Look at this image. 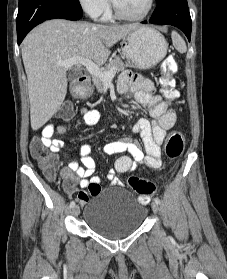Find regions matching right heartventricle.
I'll return each instance as SVG.
<instances>
[{
  "label": "right heart ventricle",
  "instance_id": "e07e8e85",
  "mask_svg": "<svg viewBox=\"0 0 227 279\" xmlns=\"http://www.w3.org/2000/svg\"><path fill=\"white\" fill-rule=\"evenodd\" d=\"M104 15H105L106 19H110L111 18V14H110L109 10H107Z\"/></svg>",
  "mask_w": 227,
  "mask_h": 279
}]
</instances>
